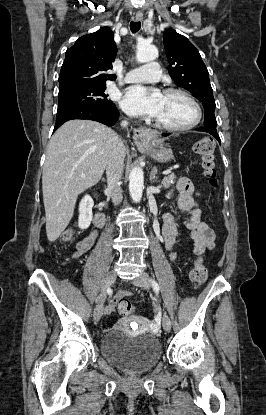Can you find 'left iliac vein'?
I'll use <instances>...</instances> for the list:
<instances>
[{"mask_svg":"<svg viewBox=\"0 0 266 415\" xmlns=\"http://www.w3.org/2000/svg\"><path fill=\"white\" fill-rule=\"evenodd\" d=\"M132 282L134 285L142 287L144 289H149L150 287L149 276L145 272H142L138 277L133 279ZM162 326L166 332H169L171 330V320L166 313H164L162 317Z\"/></svg>","mask_w":266,"mask_h":415,"instance_id":"left-iliac-vein-1","label":"left iliac vein"}]
</instances>
